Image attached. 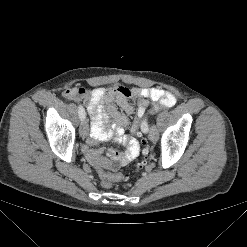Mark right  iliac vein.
<instances>
[{
	"instance_id": "right-iliac-vein-1",
	"label": "right iliac vein",
	"mask_w": 247,
	"mask_h": 247,
	"mask_svg": "<svg viewBox=\"0 0 247 247\" xmlns=\"http://www.w3.org/2000/svg\"><path fill=\"white\" fill-rule=\"evenodd\" d=\"M81 137L85 138L89 132V125L88 121L84 118L81 122L80 129H79Z\"/></svg>"
}]
</instances>
